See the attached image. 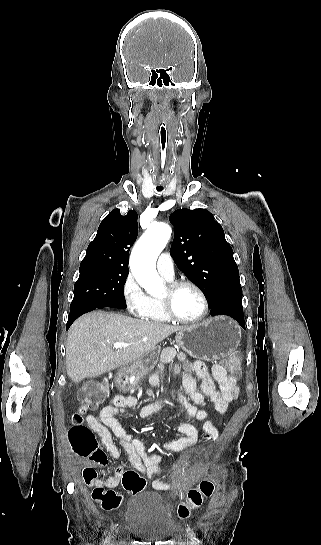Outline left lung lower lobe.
I'll list each match as a JSON object with an SVG mask.
<instances>
[{
	"instance_id": "obj_1",
	"label": "left lung lower lobe",
	"mask_w": 321,
	"mask_h": 545,
	"mask_svg": "<svg viewBox=\"0 0 321 545\" xmlns=\"http://www.w3.org/2000/svg\"><path fill=\"white\" fill-rule=\"evenodd\" d=\"M209 304L212 316L220 314L228 315L234 318L245 329L241 287L221 294Z\"/></svg>"
}]
</instances>
